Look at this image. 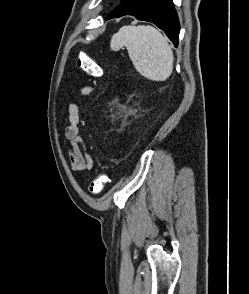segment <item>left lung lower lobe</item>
I'll list each match as a JSON object with an SVG mask.
<instances>
[{
    "label": "left lung lower lobe",
    "mask_w": 249,
    "mask_h": 294,
    "mask_svg": "<svg viewBox=\"0 0 249 294\" xmlns=\"http://www.w3.org/2000/svg\"><path fill=\"white\" fill-rule=\"evenodd\" d=\"M127 14L156 24L177 47L180 26L172 0H124L106 19Z\"/></svg>",
    "instance_id": "1"
}]
</instances>
